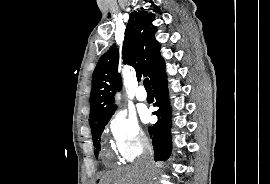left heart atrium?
I'll return each mask as SVG.
<instances>
[{"label":"left heart atrium","instance_id":"obj_1","mask_svg":"<svg viewBox=\"0 0 270 184\" xmlns=\"http://www.w3.org/2000/svg\"><path fill=\"white\" fill-rule=\"evenodd\" d=\"M144 119L147 120V119H148V115H145V116H144Z\"/></svg>","mask_w":270,"mask_h":184}]
</instances>
